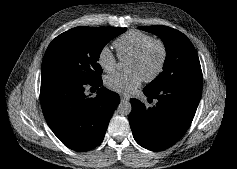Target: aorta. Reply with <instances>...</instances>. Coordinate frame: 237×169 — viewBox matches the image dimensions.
I'll use <instances>...</instances> for the list:
<instances>
[{
    "label": "aorta",
    "instance_id": "obj_1",
    "mask_svg": "<svg viewBox=\"0 0 237 169\" xmlns=\"http://www.w3.org/2000/svg\"><path fill=\"white\" fill-rule=\"evenodd\" d=\"M117 69L122 71L124 70V64L122 62H119L117 65ZM132 106L129 101H121L120 104L117 107V112L122 116H127L131 113Z\"/></svg>",
    "mask_w": 237,
    "mask_h": 169
}]
</instances>
